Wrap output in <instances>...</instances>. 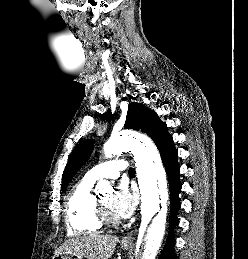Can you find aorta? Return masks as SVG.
<instances>
[{
	"label": "aorta",
	"mask_w": 248,
	"mask_h": 259,
	"mask_svg": "<svg viewBox=\"0 0 248 259\" xmlns=\"http://www.w3.org/2000/svg\"><path fill=\"white\" fill-rule=\"evenodd\" d=\"M131 151L134 154L136 173L141 194L140 240H145L141 259H155L165 233L168 190L166 173L160 154L148 137L138 134L111 136L104 144L107 158ZM99 191L110 188L106 180H100ZM145 234V235H144Z\"/></svg>",
	"instance_id": "762f6f07"
}]
</instances>
